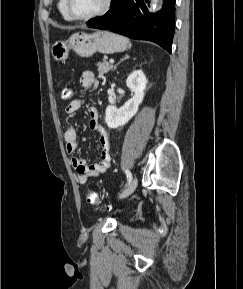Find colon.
<instances>
[{
    "instance_id": "obj_1",
    "label": "colon",
    "mask_w": 243,
    "mask_h": 289,
    "mask_svg": "<svg viewBox=\"0 0 243 289\" xmlns=\"http://www.w3.org/2000/svg\"><path fill=\"white\" fill-rule=\"evenodd\" d=\"M60 97L63 101H67L72 97V90L69 87H63L61 89ZM86 200L90 205H98L99 199L95 192L88 191L86 195Z\"/></svg>"
}]
</instances>
